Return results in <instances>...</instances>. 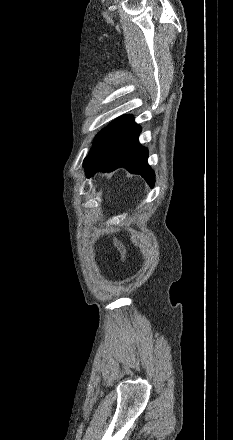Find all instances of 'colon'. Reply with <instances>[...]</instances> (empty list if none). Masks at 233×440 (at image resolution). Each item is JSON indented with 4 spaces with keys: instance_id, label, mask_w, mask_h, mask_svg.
<instances>
[{
    "instance_id": "1",
    "label": "colon",
    "mask_w": 233,
    "mask_h": 440,
    "mask_svg": "<svg viewBox=\"0 0 233 440\" xmlns=\"http://www.w3.org/2000/svg\"><path fill=\"white\" fill-rule=\"evenodd\" d=\"M114 245H115V247H116V249L118 251L119 260H120L121 263H123L125 261V259H126V248H125L123 242L121 241V239L118 236H116L114 238Z\"/></svg>"
}]
</instances>
